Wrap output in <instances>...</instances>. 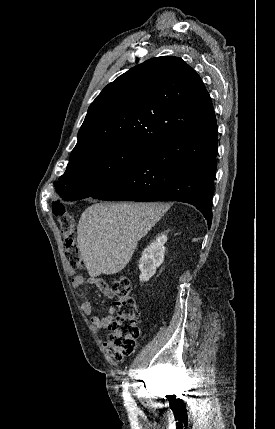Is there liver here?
Listing matches in <instances>:
<instances>
[{
  "instance_id": "1",
  "label": "liver",
  "mask_w": 275,
  "mask_h": 429,
  "mask_svg": "<svg viewBox=\"0 0 275 429\" xmlns=\"http://www.w3.org/2000/svg\"><path fill=\"white\" fill-rule=\"evenodd\" d=\"M167 210L162 203H97L81 215L77 242L91 277L113 275L129 263L138 241Z\"/></svg>"
}]
</instances>
